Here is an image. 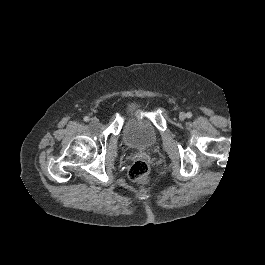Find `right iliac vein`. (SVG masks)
I'll return each instance as SVG.
<instances>
[{"mask_svg": "<svg viewBox=\"0 0 265 265\" xmlns=\"http://www.w3.org/2000/svg\"><path fill=\"white\" fill-rule=\"evenodd\" d=\"M98 122V119L96 117H93L91 119V123L96 124Z\"/></svg>", "mask_w": 265, "mask_h": 265, "instance_id": "obj_1", "label": "right iliac vein"}]
</instances>
